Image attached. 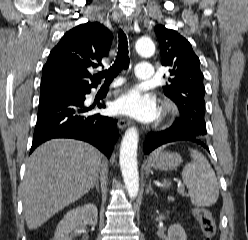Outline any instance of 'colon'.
Here are the masks:
<instances>
[{
  "label": "colon",
  "mask_w": 248,
  "mask_h": 240,
  "mask_svg": "<svg viewBox=\"0 0 248 240\" xmlns=\"http://www.w3.org/2000/svg\"><path fill=\"white\" fill-rule=\"evenodd\" d=\"M193 214L200 225L204 240H212L216 235L217 227L211 212L207 209L195 208Z\"/></svg>",
  "instance_id": "1"
}]
</instances>
